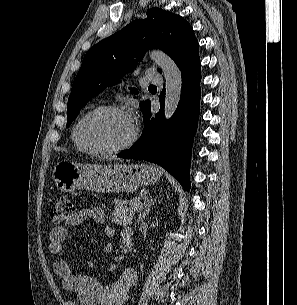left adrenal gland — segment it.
Returning a JSON list of instances; mask_svg holds the SVG:
<instances>
[{
    "mask_svg": "<svg viewBox=\"0 0 297 305\" xmlns=\"http://www.w3.org/2000/svg\"><path fill=\"white\" fill-rule=\"evenodd\" d=\"M155 201H156V198L153 199L151 195L145 196V198H144V207L145 208L142 211V213L139 215L138 222L145 219L147 214H149L150 208L154 204Z\"/></svg>",
    "mask_w": 297,
    "mask_h": 305,
    "instance_id": "left-adrenal-gland-1",
    "label": "left adrenal gland"
}]
</instances>
